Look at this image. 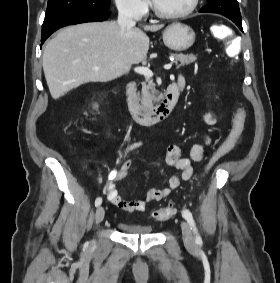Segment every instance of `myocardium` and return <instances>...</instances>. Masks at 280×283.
Masks as SVG:
<instances>
[{
  "label": "myocardium",
  "instance_id": "f54148a6",
  "mask_svg": "<svg viewBox=\"0 0 280 283\" xmlns=\"http://www.w3.org/2000/svg\"><path fill=\"white\" fill-rule=\"evenodd\" d=\"M199 4V0H192L190 6L182 12L179 13H165L162 12L155 4L154 0H151V6L153 9V12L155 13V15L161 19H165V20H177V19H182L185 18L187 16H189L190 14H192L197 6Z\"/></svg>",
  "mask_w": 280,
  "mask_h": 283
}]
</instances>
